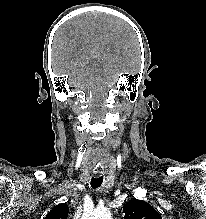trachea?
Instances as JSON below:
<instances>
[{
    "mask_svg": "<svg viewBox=\"0 0 206 219\" xmlns=\"http://www.w3.org/2000/svg\"><path fill=\"white\" fill-rule=\"evenodd\" d=\"M102 183H103V176L92 177L91 179V187L93 189L100 187Z\"/></svg>",
    "mask_w": 206,
    "mask_h": 219,
    "instance_id": "obj_1",
    "label": "trachea"
}]
</instances>
